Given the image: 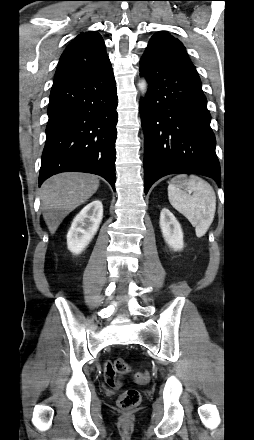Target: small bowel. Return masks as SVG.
Listing matches in <instances>:
<instances>
[{
    "instance_id": "obj_1",
    "label": "small bowel",
    "mask_w": 254,
    "mask_h": 440,
    "mask_svg": "<svg viewBox=\"0 0 254 440\" xmlns=\"http://www.w3.org/2000/svg\"><path fill=\"white\" fill-rule=\"evenodd\" d=\"M104 375H105L106 381L109 385H111V386L115 385L114 372H113L112 365L110 362H105V364H104Z\"/></svg>"
}]
</instances>
